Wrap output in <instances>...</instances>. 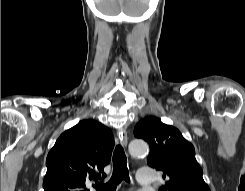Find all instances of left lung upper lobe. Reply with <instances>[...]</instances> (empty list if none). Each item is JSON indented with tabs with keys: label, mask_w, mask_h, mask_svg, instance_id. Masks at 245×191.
Here are the masks:
<instances>
[{
	"label": "left lung upper lobe",
	"mask_w": 245,
	"mask_h": 191,
	"mask_svg": "<svg viewBox=\"0 0 245 191\" xmlns=\"http://www.w3.org/2000/svg\"><path fill=\"white\" fill-rule=\"evenodd\" d=\"M134 136L149 143L147 164L167 179L159 191H210L195 158L194 146L177 128L149 116L138 122Z\"/></svg>",
	"instance_id": "5c2ea615"
}]
</instances>
